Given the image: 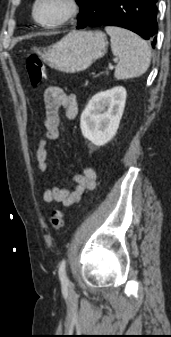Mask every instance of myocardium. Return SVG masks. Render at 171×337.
<instances>
[{"label":"myocardium","instance_id":"obj_1","mask_svg":"<svg viewBox=\"0 0 171 337\" xmlns=\"http://www.w3.org/2000/svg\"><path fill=\"white\" fill-rule=\"evenodd\" d=\"M42 0H34L32 5V17L39 26L46 29H56L67 24L71 19L76 17L80 10L81 4L79 0H62L66 5V12L61 19L55 22H44L38 19L37 17V8L40 5Z\"/></svg>","mask_w":171,"mask_h":337}]
</instances>
